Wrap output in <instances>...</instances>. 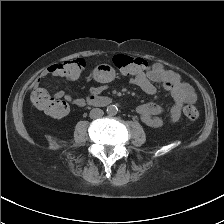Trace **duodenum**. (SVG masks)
Listing matches in <instances>:
<instances>
[{
  "label": "duodenum",
  "instance_id": "obj_1",
  "mask_svg": "<svg viewBox=\"0 0 224 224\" xmlns=\"http://www.w3.org/2000/svg\"><path fill=\"white\" fill-rule=\"evenodd\" d=\"M93 103L99 106H107L111 102L110 97H96L92 100Z\"/></svg>",
  "mask_w": 224,
  "mask_h": 224
}]
</instances>
